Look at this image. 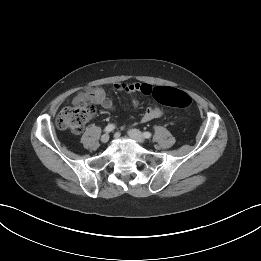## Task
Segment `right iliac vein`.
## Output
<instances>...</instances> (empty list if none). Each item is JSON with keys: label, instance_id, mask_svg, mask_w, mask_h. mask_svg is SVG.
Here are the masks:
<instances>
[{"label": "right iliac vein", "instance_id": "1", "mask_svg": "<svg viewBox=\"0 0 261 261\" xmlns=\"http://www.w3.org/2000/svg\"><path fill=\"white\" fill-rule=\"evenodd\" d=\"M109 141V134H104L101 137V142L102 143H107Z\"/></svg>", "mask_w": 261, "mask_h": 261}]
</instances>
